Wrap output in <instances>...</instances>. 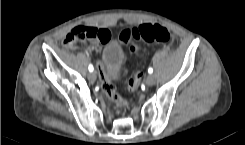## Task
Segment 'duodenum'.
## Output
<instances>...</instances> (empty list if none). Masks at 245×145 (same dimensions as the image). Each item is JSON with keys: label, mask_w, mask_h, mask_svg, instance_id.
<instances>
[{"label": "duodenum", "mask_w": 245, "mask_h": 145, "mask_svg": "<svg viewBox=\"0 0 245 145\" xmlns=\"http://www.w3.org/2000/svg\"><path fill=\"white\" fill-rule=\"evenodd\" d=\"M70 48L73 49V50H77L78 49V47L75 46V45H72Z\"/></svg>", "instance_id": "obj_1"}]
</instances>
